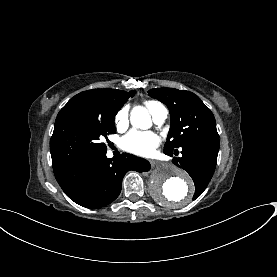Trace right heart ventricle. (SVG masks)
Returning <instances> with one entry per match:
<instances>
[{
  "mask_svg": "<svg viewBox=\"0 0 277 277\" xmlns=\"http://www.w3.org/2000/svg\"><path fill=\"white\" fill-rule=\"evenodd\" d=\"M156 103H158V102H153V101L145 102V106L148 109V111L151 113V115H152V112H153V109H154V106L156 105Z\"/></svg>",
  "mask_w": 277,
  "mask_h": 277,
  "instance_id": "1",
  "label": "right heart ventricle"
}]
</instances>
